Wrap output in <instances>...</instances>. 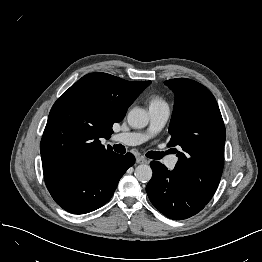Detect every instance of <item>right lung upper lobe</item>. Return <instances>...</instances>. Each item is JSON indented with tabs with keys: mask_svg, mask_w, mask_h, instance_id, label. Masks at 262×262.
Masks as SVG:
<instances>
[{
	"mask_svg": "<svg viewBox=\"0 0 262 262\" xmlns=\"http://www.w3.org/2000/svg\"><path fill=\"white\" fill-rule=\"evenodd\" d=\"M151 81L131 82L110 74L85 75L54 103L40 143L43 167L95 161L109 153L101 138L123 120Z\"/></svg>",
	"mask_w": 262,
	"mask_h": 262,
	"instance_id": "cb5924a9",
	"label": "right lung upper lobe"
}]
</instances>
